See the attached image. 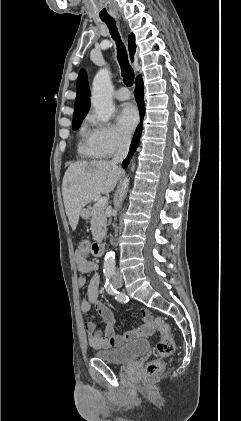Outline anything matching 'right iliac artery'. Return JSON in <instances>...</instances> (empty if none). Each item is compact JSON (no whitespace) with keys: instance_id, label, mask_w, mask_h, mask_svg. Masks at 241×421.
Segmentation results:
<instances>
[{"instance_id":"right-iliac-artery-1","label":"right iliac artery","mask_w":241,"mask_h":421,"mask_svg":"<svg viewBox=\"0 0 241 421\" xmlns=\"http://www.w3.org/2000/svg\"><path fill=\"white\" fill-rule=\"evenodd\" d=\"M112 275L111 271L105 272V289L106 291L115 297V299L121 303H127L129 298L123 294L117 291L112 284L110 283V276Z\"/></svg>"}]
</instances>
